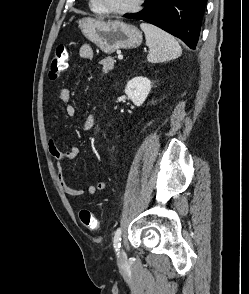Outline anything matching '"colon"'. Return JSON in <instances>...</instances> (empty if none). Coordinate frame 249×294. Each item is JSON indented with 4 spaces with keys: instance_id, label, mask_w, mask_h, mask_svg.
<instances>
[{
    "instance_id": "5ec220e1",
    "label": "colon",
    "mask_w": 249,
    "mask_h": 294,
    "mask_svg": "<svg viewBox=\"0 0 249 294\" xmlns=\"http://www.w3.org/2000/svg\"><path fill=\"white\" fill-rule=\"evenodd\" d=\"M68 51L65 45H59L52 57L49 67V78L51 80H57L67 66ZM81 223L84 227L90 230H96L99 227L98 220L93 213L88 209H81L78 212Z\"/></svg>"
}]
</instances>
